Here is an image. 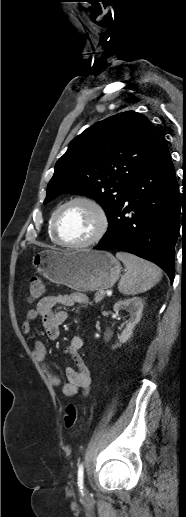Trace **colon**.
Instances as JSON below:
<instances>
[{
  "instance_id": "colon-1",
  "label": "colon",
  "mask_w": 186,
  "mask_h": 517,
  "mask_svg": "<svg viewBox=\"0 0 186 517\" xmlns=\"http://www.w3.org/2000/svg\"><path fill=\"white\" fill-rule=\"evenodd\" d=\"M44 293V285L42 280L37 274H34L29 283V292H28V300L29 302H35L43 296ZM78 411L77 407L74 404H70L64 415V424L65 427L70 429L77 422Z\"/></svg>"
}]
</instances>
